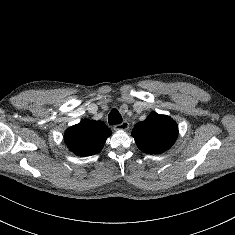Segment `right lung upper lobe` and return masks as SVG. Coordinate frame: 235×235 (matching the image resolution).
<instances>
[{
  "instance_id": "right-lung-upper-lobe-1",
  "label": "right lung upper lobe",
  "mask_w": 235,
  "mask_h": 235,
  "mask_svg": "<svg viewBox=\"0 0 235 235\" xmlns=\"http://www.w3.org/2000/svg\"><path fill=\"white\" fill-rule=\"evenodd\" d=\"M112 134L102 121L83 119L65 131L64 140L74 154L90 156L97 154L103 148L106 139Z\"/></svg>"
}]
</instances>
